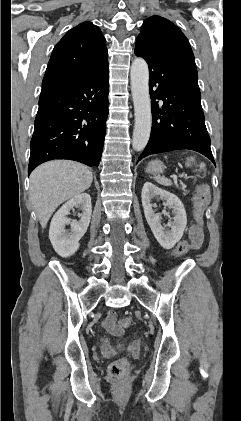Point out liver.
Listing matches in <instances>:
<instances>
[{
	"label": "liver",
	"instance_id": "obj_1",
	"mask_svg": "<svg viewBox=\"0 0 241 421\" xmlns=\"http://www.w3.org/2000/svg\"><path fill=\"white\" fill-rule=\"evenodd\" d=\"M92 180L87 166L70 160L37 167L30 175V200L42 228L60 204L87 190Z\"/></svg>",
	"mask_w": 241,
	"mask_h": 421
}]
</instances>
